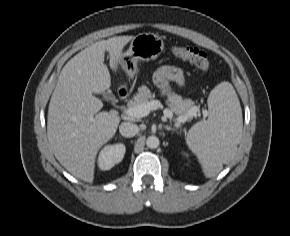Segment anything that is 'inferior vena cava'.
Instances as JSON below:
<instances>
[{"label":"inferior vena cava","instance_id":"602c4592","mask_svg":"<svg viewBox=\"0 0 290 236\" xmlns=\"http://www.w3.org/2000/svg\"><path fill=\"white\" fill-rule=\"evenodd\" d=\"M139 131V128L136 124L130 122H123L119 126V132L124 137H133Z\"/></svg>","mask_w":290,"mask_h":236}]
</instances>
